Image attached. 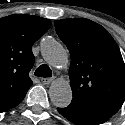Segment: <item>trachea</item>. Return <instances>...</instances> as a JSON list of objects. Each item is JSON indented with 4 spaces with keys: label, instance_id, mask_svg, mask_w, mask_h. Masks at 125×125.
<instances>
[{
    "label": "trachea",
    "instance_id": "1",
    "mask_svg": "<svg viewBox=\"0 0 125 125\" xmlns=\"http://www.w3.org/2000/svg\"><path fill=\"white\" fill-rule=\"evenodd\" d=\"M34 75L38 77L49 78L52 76V71L48 65L42 64L36 69Z\"/></svg>",
    "mask_w": 125,
    "mask_h": 125
}]
</instances>
